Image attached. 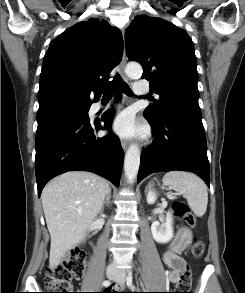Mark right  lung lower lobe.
<instances>
[{"label":"right lung lower lobe","instance_id":"1","mask_svg":"<svg viewBox=\"0 0 245 293\" xmlns=\"http://www.w3.org/2000/svg\"><path fill=\"white\" fill-rule=\"evenodd\" d=\"M119 93V91H118ZM112 114L102 117L109 128ZM100 121H65L36 135L35 170L38 195L53 177L67 171H89L118 186L124 152L119 139L111 133L102 138L94 135L104 129Z\"/></svg>","mask_w":245,"mask_h":293}]
</instances>
